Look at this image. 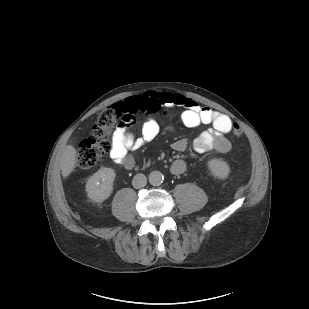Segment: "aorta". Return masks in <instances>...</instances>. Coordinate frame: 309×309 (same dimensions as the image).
I'll return each instance as SVG.
<instances>
[{
    "mask_svg": "<svg viewBox=\"0 0 309 309\" xmlns=\"http://www.w3.org/2000/svg\"><path fill=\"white\" fill-rule=\"evenodd\" d=\"M163 179L164 177L160 171H152L149 174V182L151 185H154V186L161 185L163 182Z\"/></svg>",
    "mask_w": 309,
    "mask_h": 309,
    "instance_id": "762f6f07",
    "label": "aorta"
}]
</instances>
